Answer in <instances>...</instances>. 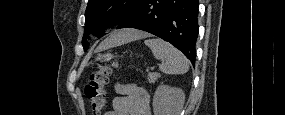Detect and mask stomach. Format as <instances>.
I'll return each mask as SVG.
<instances>
[{
  "mask_svg": "<svg viewBox=\"0 0 285 115\" xmlns=\"http://www.w3.org/2000/svg\"><path fill=\"white\" fill-rule=\"evenodd\" d=\"M114 56L111 54H105L103 56H100L99 58H97L96 60H101V61H108L111 58H113Z\"/></svg>",
  "mask_w": 285,
  "mask_h": 115,
  "instance_id": "1",
  "label": "stomach"
}]
</instances>
